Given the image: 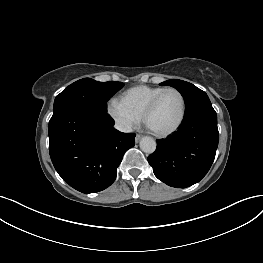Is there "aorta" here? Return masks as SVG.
<instances>
[{"instance_id":"obj_1","label":"aorta","mask_w":263,"mask_h":263,"mask_svg":"<svg viewBox=\"0 0 263 263\" xmlns=\"http://www.w3.org/2000/svg\"><path fill=\"white\" fill-rule=\"evenodd\" d=\"M140 148L143 152L151 154L156 149V141L151 137H143L140 141Z\"/></svg>"}]
</instances>
